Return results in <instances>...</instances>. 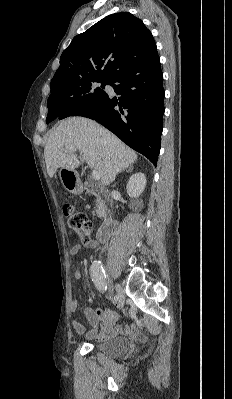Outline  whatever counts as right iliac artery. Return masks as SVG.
<instances>
[{"mask_svg":"<svg viewBox=\"0 0 232 399\" xmlns=\"http://www.w3.org/2000/svg\"><path fill=\"white\" fill-rule=\"evenodd\" d=\"M90 276L91 279L100 292H105L107 290V283L104 277V270L100 260H94L90 266ZM119 295H114V300H118Z\"/></svg>","mask_w":232,"mask_h":399,"instance_id":"82829eb1","label":"right iliac artery"}]
</instances>
